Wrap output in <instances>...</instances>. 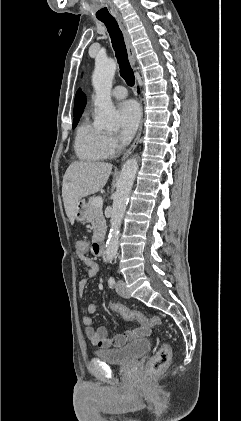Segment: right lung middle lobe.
Returning a JSON list of instances; mask_svg holds the SVG:
<instances>
[{
  "label": "right lung middle lobe",
  "mask_w": 241,
  "mask_h": 421,
  "mask_svg": "<svg viewBox=\"0 0 241 421\" xmlns=\"http://www.w3.org/2000/svg\"><path fill=\"white\" fill-rule=\"evenodd\" d=\"M79 119H80V117H78V118H74V120H73V129L76 127V125H77V123H78Z\"/></svg>",
  "instance_id": "obj_1"
}]
</instances>
